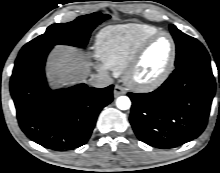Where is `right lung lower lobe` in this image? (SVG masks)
Masks as SVG:
<instances>
[{"mask_svg": "<svg viewBox=\"0 0 220 173\" xmlns=\"http://www.w3.org/2000/svg\"><path fill=\"white\" fill-rule=\"evenodd\" d=\"M53 46L18 55L10 81L22 131L45 148L65 151L84 145L100 111L113 100V85L92 88L80 84L50 90L44 65Z\"/></svg>", "mask_w": 220, "mask_h": 173, "instance_id": "obj_1", "label": "right lung lower lobe"}]
</instances>
